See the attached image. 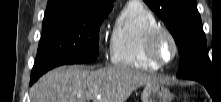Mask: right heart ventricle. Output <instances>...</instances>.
<instances>
[{
  "label": "right heart ventricle",
  "instance_id": "e07e8e85",
  "mask_svg": "<svg viewBox=\"0 0 221 102\" xmlns=\"http://www.w3.org/2000/svg\"><path fill=\"white\" fill-rule=\"evenodd\" d=\"M154 13L138 0L128 1L121 10L110 40V60L122 67L156 71L145 55L144 40L148 31L159 26Z\"/></svg>",
  "mask_w": 221,
  "mask_h": 102
}]
</instances>
